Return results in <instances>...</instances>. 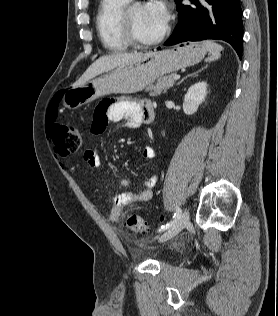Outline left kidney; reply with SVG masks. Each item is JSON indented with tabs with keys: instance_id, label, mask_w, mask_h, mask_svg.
I'll return each instance as SVG.
<instances>
[{
	"instance_id": "5707ae66",
	"label": "left kidney",
	"mask_w": 278,
	"mask_h": 316,
	"mask_svg": "<svg viewBox=\"0 0 278 316\" xmlns=\"http://www.w3.org/2000/svg\"><path fill=\"white\" fill-rule=\"evenodd\" d=\"M206 94V82H198L192 85L184 97V113L187 115L194 114L198 110L199 105L205 100Z\"/></svg>"
}]
</instances>
